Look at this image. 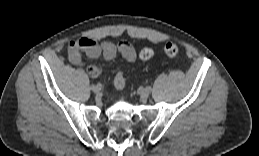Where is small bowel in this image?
<instances>
[{"label":"small bowel","mask_w":259,"mask_h":156,"mask_svg":"<svg viewBox=\"0 0 259 156\" xmlns=\"http://www.w3.org/2000/svg\"><path fill=\"white\" fill-rule=\"evenodd\" d=\"M83 53L90 58L103 57L105 60H112L117 53H120L130 63L136 60L135 50L127 42L114 44L110 41L97 42L92 38L82 37L69 43L68 57L73 64L81 63ZM87 72L91 77L96 78L100 75L101 70L97 65L90 64Z\"/></svg>","instance_id":"small-bowel-1"}]
</instances>
